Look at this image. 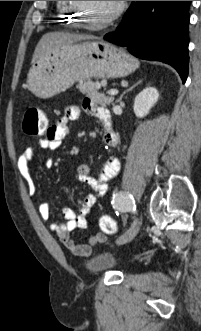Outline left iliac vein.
Returning <instances> with one entry per match:
<instances>
[{
    "label": "left iliac vein",
    "instance_id": "obj_1",
    "mask_svg": "<svg viewBox=\"0 0 201 331\" xmlns=\"http://www.w3.org/2000/svg\"><path fill=\"white\" fill-rule=\"evenodd\" d=\"M141 226V221L139 218H136L131 225V227L120 237L117 238L116 243L118 245L126 244L134 239V237L137 235L139 229Z\"/></svg>",
    "mask_w": 201,
    "mask_h": 331
}]
</instances>
